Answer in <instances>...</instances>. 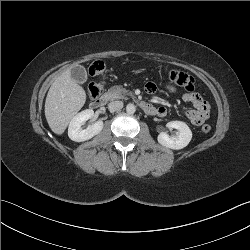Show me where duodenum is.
<instances>
[{
	"mask_svg": "<svg viewBox=\"0 0 250 250\" xmlns=\"http://www.w3.org/2000/svg\"><path fill=\"white\" fill-rule=\"evenodd\" d=\"M108 100H109V96L107 94H104L102 96L94 98L91 102V106L93 108H101L108 102ZM139 106L142 108V110L146 114H149V115H156L157 114V109L149 103L141 101V102H139Z\"/></svg>",
	"mask_w": 250,
	"mask_h": 250,
	"instance_id": "410a0bca",
	"label": "duodenum"
}]
</instances>
